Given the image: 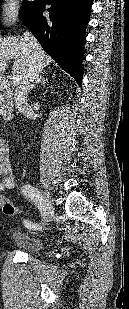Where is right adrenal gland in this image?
I'll return each instance as SVG.
<instances>
[{"mask_svg":"<svg viewBox=\"0 0 129 309\" xmlns=\"http://www.w3.org/2000/svg\"><path fill=\"white\" fill-rule=\"evenodd\" d=\"M44 74H46L44 71L40 73V75L36 78L35 82L31 86V90H34L38 85H45L47 79L44 78Z\"/></svg>","mask_w":129,"mask_h":309,"instance_id":"right-adrenal-gland-1","label":"right adrenal gland"}]
</instances>
